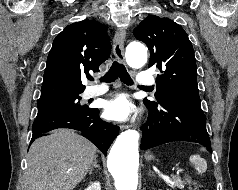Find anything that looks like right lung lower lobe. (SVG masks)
<instances>
[{
    "label": "right lung lower lobe",
    "mask_w": 238,
    "mask_h": 190,
    "mask_svg": "<svg viewBox=\"0 0 238 190\" xmlns=\"http://www.w3.org/2000/svg\"><path fill=\"white\" fill-rule=\"evenodd\" d=\"M57 128H70L83 132L84 136L105 155L114 138L119 133L118 126L100 119L97 108H87L36 117L32 126L33 135L31 143L43 133Z\"/></svg>",
    "instance_id": "right-lung-lower-lobe-1"
}]
</instances>
